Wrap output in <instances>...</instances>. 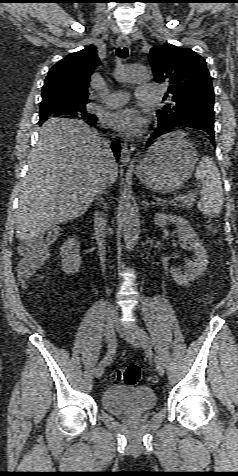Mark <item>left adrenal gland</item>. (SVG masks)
I'll return each instance as SVG.
<instances>
[{
	"mask_svg": "<svg viewBox=\"0 0 238 476\" xmlns=\"http://www.w3.org/2000/svg\"><path fill=\"white\" fill-rule=\"evenodd\" d=\"M142 204H143V207L144 209L146 210L148 207H150L151 205H158L159 203L157 202H149L148 200L144 199L142 201Z\"/></svg>",
	"mask_w": 238,
	"mask_h": 476,
	"instance_id": "left-adrenal-gland-1",
	"label": "left adrenal gland"
}]
</instances>
